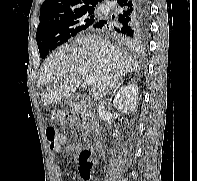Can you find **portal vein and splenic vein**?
<instances>
[{"label": "portal vein and splenic vein", "mask_w": 197, "mask_h": 181, "mask_svg": "<svg viewBox=\"0 0 197 181\" xmlns=\"http://www.w3.org/2000/svg\"><path fill=\"white\" fill-rule=\"evenodd\" d=\"M95 82V78L92 75H87L85 83L89 86L92 85Z\"/></svg>", "instance_id": "obj_1"}]
</instances>
